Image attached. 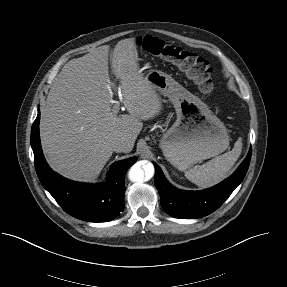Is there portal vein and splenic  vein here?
<instances>
[{"label": "portal vein and splenic vein", "instance_id": "obj_1", "mask_svg": "<svg viewBox=\"0 0 287 287\" xmlns=\"http://www.w3.org/2000/svg\"><path fill=\"white\" fill-rule=\"evenodd\" d=\"M118 96H119V99H120V101L122 102V93H121V89H119L118 90ZM116 104L114 105V107H113V111L115 112V113H118V111H119V103L118 102H115Z\"/></svg>", "mask_w": 287, "mask_h": 287}]
</instances>
